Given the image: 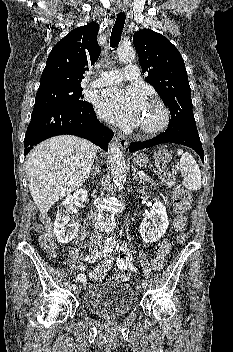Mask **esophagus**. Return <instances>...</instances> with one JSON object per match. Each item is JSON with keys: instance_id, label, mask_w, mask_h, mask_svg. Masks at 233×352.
<instances>
[{"instance_id": "esophagus-1", "label": "esophagus", "mask_w": 233, "mask_h": 352, "mask_svg": "<svg viewBox=\"0 0 233 352\" xmlns=\"http://www.w3.org/2000/svg\"><path fill=\"white\" fill-rule=\"evenodd\" d=\"M115 139L119 147L122 149L125 148L128 144L127 139L123 135L117 134Z\"/></svg>"}]
</instances>
